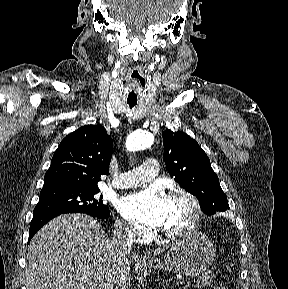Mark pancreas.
<instances>
[{"mask_svg": "<svg viewBox=\"0 0 288 289\" xmlns=\"http://www.w3.org/2000/svg\"><path fill=\"white\" fill-rule=\"evenodd\" d=\"M212 270H209L208 272L204 273L201 277L198 278V282L195 285L197 288H207L210 286V281L212 280Z\"/></svg>", "mask_w": 288, "mask_h": 289, "instance_id": "cf45deb5", "label": "pancreas"}]
</instances>
